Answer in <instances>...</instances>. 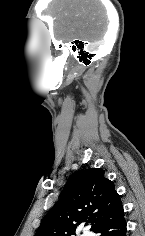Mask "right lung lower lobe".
I'll use <instances>...</instances> for the list:
<instances>
[{
    "mask_svg": "<svg viewBox=\"0 0 145 236\" xmlns=\"http://www.w3.org/2000/svg\"><path fill=\"white\" fill-rule=\"evenodd\" d=\"M100 236H126V222L124 219L123 207H121L115 215L101 224L94 230Z\"/></svg>",
    "mask_w": 145,
    "mask_h": 236,
    "instance_id": "obj_1",
    "label": "right lung lower lobe"
}]
</instances>
